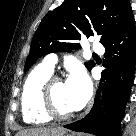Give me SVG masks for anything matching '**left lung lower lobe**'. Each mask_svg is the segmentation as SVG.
<instances>
[{
    "mask_svg": "<svg viewBox=\"0 0 136 136\" xmlns=\"http://www.w3.org/2000/svg\"><path fill=\"white\" fill-rule=\"evenodd\" d=\"M102 45L106 50L105 66L109 69L103 73L107 81L99 85L96 97L99 99L103 88V100L83 119L64 127L97 136H120V123L130 98L136 64V28L132 10Z\"/></svg>",
    "mask_w": 136,
    "mask_h": 136,
    "instance_id": "1",
    "label": "left lung lower lobe"
}]
</instances>
